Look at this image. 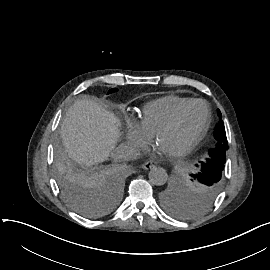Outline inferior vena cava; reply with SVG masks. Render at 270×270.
<instances>
[{
    "mask_svg": "<svg viewBox=\"0 0 270 270\" xmlns=\"http://www.w3.org/2000/svg\"><path fill=\"white\" fill-rule=\"evenodd\" d=\"M138 154V151L134 147L126 143H120L112 152V158L114 160H134L138 158Z\"/></svg>",
    "mask_w": 270,
    "mask_h": 270,
    "instance_id": "inferior-vena-cava-1",
    "label": "inferior vena cava"
}]
</instances>
